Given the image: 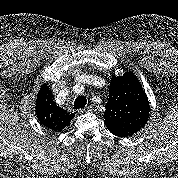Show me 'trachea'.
<instances>
[{
    "mask_svg": "<svg viewBox=\"0 0 178 178\" xmlns=\"http://www.w3.org/2000/svg\"><path fill=\"white\" fill-rule=\"evenodd\" d=\"M87 104V99L85 96H78L75 101H74V108L79 109V108H84Z\"/></svg>",
    "mask_w": 178,
    "mask_h": 178,
    "instance_id": "obj_1",
    "label": "trachea"
}]
</instances>
